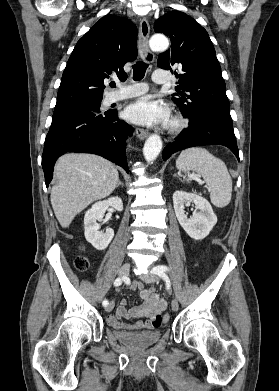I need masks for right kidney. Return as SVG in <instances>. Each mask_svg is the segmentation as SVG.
I'll use <instances>...</instances> for the list:
<instances>
[{
    "instance_id": "ca27d5eb",
    "label": "right kidney",
    "mask_w": 279,
    "mask_h": 391,
    "mask_svg": "<svg viewBox=\"0 0 279 391\" xmlns=\"http://www.w3.org/2000/svg\"><path fill=\"white\" fill-rule=\"evenodd\" d=\"M112 207L117 211L123 210L122 199L118 196L110 197L107 200L96 202L92 205L84 217L85 238L97 250H104L114 237L112 228L106 229L105 233L99 231L98 221L103 219L106 210Z\"/></svg>"
}]
</instances>
